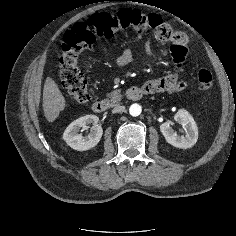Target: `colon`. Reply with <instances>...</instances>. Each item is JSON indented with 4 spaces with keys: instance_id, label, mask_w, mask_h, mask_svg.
<instances>
[{
    "instance_id": "5ec220e1",
    "label": "colon",
    "mask_w": 236,
    "mask_h": 236,
    "mask_svg": "<svg viewBox=\"0 0 236 236\" xmlns=\"http://www.w3.org/2000/svg\"><path fill=\"white\" fill-rule=\"evenodd\" d=\"M127 29H131L137 37L153 33L157 39L165 42L172 43L180 38L179 33L164 23L158 15L131 9H123L114 14H95L83 22L76 23L64 36L60 57L62 83L75 102L83 104L91 99L89 84L80 67L84 52L91 48L97 39H109L115 33ZM197 77L202 91L212 88L213 76L210 70L200 69Z\"/></svg>"
}]
</instances>
